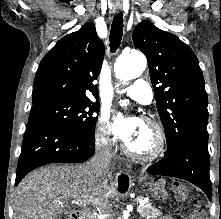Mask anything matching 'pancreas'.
<instances>
[{"instance_id": "cf45deb5", "label": "pancreas", "mask_w": 221, "mask_h": 219, "mask_svg": "<svg viewBox=\"0 0 221 219\" xmlns=\"http://www.w3.org/2000/svg\"><path fill=\"white\" fill-rule=\"evenodd\" d=\"M136 200L140 201V200H142V197H138ZM139 207H140V210L138 212H139L140 216H142L146 219H156V218L163 215V213L160 210L153 207L151 205V203H149V202H147L143 205H139ZM92 217H94V216H92ZM92 219H95V218H92Z\"/></svg>"}]
</instances>
